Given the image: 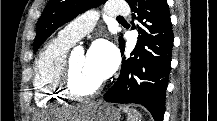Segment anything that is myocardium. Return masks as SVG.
I'll return each mask as SVG.
<instances>
[{
  "instance_id": "1",
  "label": "myocardium",
  "mask_w": 217,
  "mask_h": 121,
  "mask_svg": "<svg viewBox=\"0 0 217 121\" xmlns=\"http://www.w3.org/2000/svg\"><path fill=\"white\" fill-rule=\"evenodd\" d=\"M59 87L63 96L74 100L85 101L97 96L103 90L104 81H101L100 84L90 91L83 92L78 90L73 83L71 57L66 58L64 62L59 77Z\"/></svg>"
}]
</instances>
